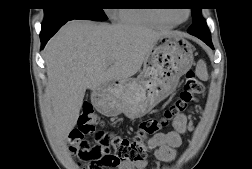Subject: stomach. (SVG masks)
Segmentation results:
<instances>
[{
    "instance_id": "1",
    "label": "stomach",
    "mask_w": 252,
    "mask_h": 169,
    "mask_svg": "<svg viewBox=\"0 0 252 169\" xmlns=\"http://www.w3.org/2000/svg\"><path fill=\"white\" fill-rule=\"evenodd\" d=\"M193 51L192 44L179 34L162 36L145 57L136 78L113 81L93 92L95 107L107 116L123 113L130 119L143 117L175 90L193 64Z\"/></svg>"
}]
</instances>
